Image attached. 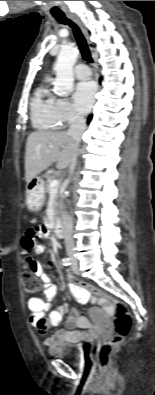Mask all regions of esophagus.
Instances as JSON below:
<instances>
[{
    "label": "esophagus",
    "mask_w": 155,
    "mask_h": 395,
    "mask_svg": "<svg viewBox=\"0 0 155 395\" xmlns=\"http://www.w3.org/2000/svg\"><path fill=\"white\" fill-rule=\"evenodd\" d=\"M67 17L70 18L71 20H73L78 25V27L81 29L84 36L86 38H88V33H87L83 23L80 21V19L72 13H67ZM88 43H89V47L92 48L90 42H88Z\"/></svg>",
    "instance_id": "34e87169"
}]
</instances>
